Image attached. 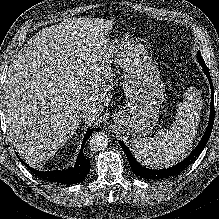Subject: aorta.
Segmentation results:
<instances>
[{"instance_id":"obj_1","label":"aorta","mask_w":219,"mask_h":219,"mask_svg":"<svg viewBox=\"0 0 219 219\" xmlns=\"http://www.w3.org/2000/svg\"><path fill=\"white\" fill-rule=\"evenodd\" d=\"M108 142L109 138L104 132H97L90 137L89 147L95 152L102 151L108 146Z\"/></svg>"}]
</instances>
